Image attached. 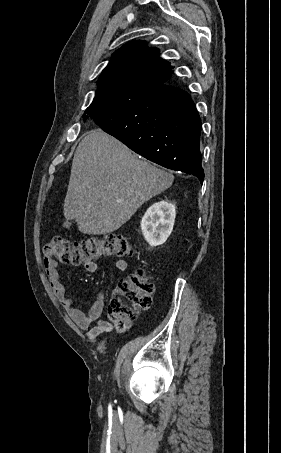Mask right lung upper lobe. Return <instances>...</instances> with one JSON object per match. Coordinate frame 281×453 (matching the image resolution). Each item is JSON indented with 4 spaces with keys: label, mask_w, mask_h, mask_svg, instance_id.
Masks as SVG:
<instances>
[{
    "label": "right lung upper lobe",
    "mask_w": 281,
    "mask_h": 453,
    "mask_svg": "<svg viewBox=\"0 0 281 453\" xmlns=\"http://www.w3.org/2000/svg\"><path fill=\"white\" fill-rule=\"evenodd\" d=\"M170 63L156 48L132 41L117 50L98 80V90L86 111L113 105L150 91L171 80Z\"/></svg>",
    "instance_id": "obj_1"
}]
</instances>
